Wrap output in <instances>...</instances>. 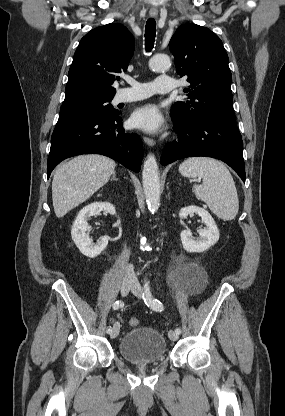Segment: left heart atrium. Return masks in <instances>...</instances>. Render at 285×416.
I'll use <instances>...</instances> for the list:
<instances>
[{
  "instance_id": "left-heart-atrium-1",
  "label": "left heart atrium",
  "mask_w": 285,
  "mask_h": 416,
  "mask_svg": "<svg viewBox=\"0 0 285 416\" xmlns=\"http://www.w3.org/2000/svg\"><path fill=\"white\" fill-rule=\"evenodd\" d=\"M134 126L147 131L157 132L163 126V119L154 105H145L138 108L132 115Z\"/></svg>"
}]
</instances>
